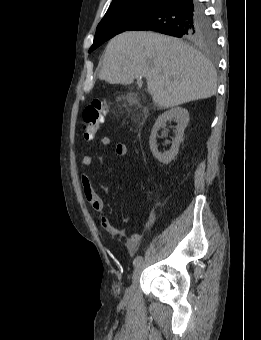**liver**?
I'll use <instances>...</instances> for the list:
<instances>
[{
  "label": "liver",
  "mask_w": 261,
  "mask_h": 340,
  "mask_svg": "<svg viewBox=\"0 0 261 340\" xmlns=\"http://www.w3.org/2000/svg\"><path fill=\"white\" fill-rule=\"evenodd\" d=\"M139 77L161 109L209 98L217 89L214 66L193 47L150 31L123 32L109 41L99 79L129 85Z\"/></svg>",
  "instance_id": "obj_1"
}]
</instances>
